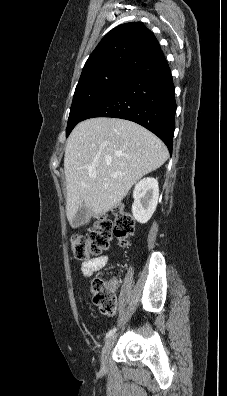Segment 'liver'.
<instances>
[{
    "mask_svg": "<svg viewBox=\"0 0 227 396\" xmlns=\"http://www.w3.org/2000/svg\"><path fill=\"white\" fill-rule=\"evenodd\" d=\"M167 158L164 143L134 122L107 117L80 122L67 140L64 156L68 221L82 205L89 209L85 223L112 210ZM89 172H95V178Z\"/></svg>",
    "mask_w": 227,
    "mask_h": 396,
    "instance_id": "obj_1",
    "label": "liver"
}]
</instances>
